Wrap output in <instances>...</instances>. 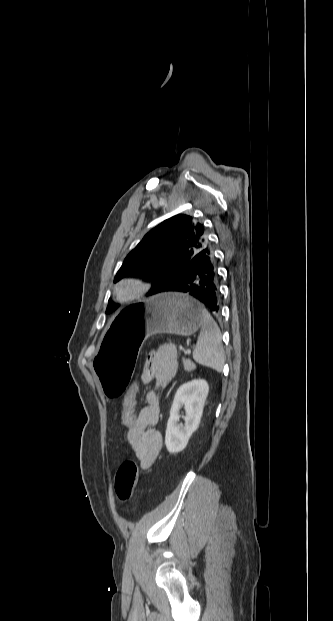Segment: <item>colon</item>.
I'll return each instance as SVG.
<instances>
[{"instance_id": "obj_1", "label": "colon", "mask_w": 333, "mask_h": 621, "mask_svg": "<svg viewBox=\"0 0 333 621\" xmlns=\"http://www.w3.org/2000/svg\"><path fill=\"white\" fill-rule=\"evenodd\" d=\"M138 383L133 382L127 390L121 409V421L126 426H132L137 419L136 398ZM138 482V467L133 460L124 461L118 468L115 479V491L121 502L130 500Z\"/></svg>"}]
</instances>
